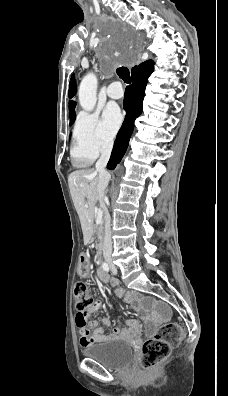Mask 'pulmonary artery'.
Listing matches in <instances>:
<instances>
[{
    "mask_svg": "<svg viewBox=\"0 0 228 396\" xmlns=\"http://www.w3.org/2000/svg\"><path fill=\"white\" fill-rule=\"evenodd\" d=\"M124 92L119 82H112L107 88V95L112 99H119L123 96Z\"/></svg>",
    "mask_w": 228,
    "mask_h": 396,
    "instance_id": "pulmonary-artery-1",
    "label": "pulmonary artery"
}]
</instances>
